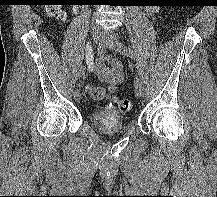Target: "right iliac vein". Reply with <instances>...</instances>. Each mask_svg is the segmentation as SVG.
<instances>
[{"mask_svg":"<svg viewBox=\"0 0 217 197\" xmlns=\"http://www.w3.org/2000/svg\"><path fill=\"white\" fill-rule=\"evenodd\" d=\"M91 35H92V39H93L95 42H97V41H99V39H100L101 31H100L98 28L93 27V28H92V31H91ZM73 96H74V99H75L76 101H78V100L80 99L81 94H80L79 89H75V90H74Z\"/></svg>","mask_w":217,"mask_h":197,"instance_id":"63e3f726","label":"right iliac vein"}]
</instances>
